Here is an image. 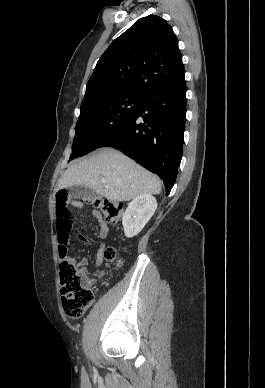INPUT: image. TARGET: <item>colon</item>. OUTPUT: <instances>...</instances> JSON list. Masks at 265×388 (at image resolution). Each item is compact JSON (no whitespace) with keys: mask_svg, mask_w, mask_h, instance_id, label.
I'll use <instances>...</instances> for the list:
<instances>
[{"mask_svg":"<svg viewBox=\"0 0 265 388\" xmlns=\"http://www.w3.org/2000/svg\"><path fill=\"white\" fill-rule=\"evenodd\" d=\"M90 202L102 212L105 221L111 224L117 223L124 212L121 203L105 198H96ZM56 227L62 308L68 317L77 319L91 305L94 294L87 272L69 259L68 244L73 224L70 219L69 196L63 190L56 194ZM104 257L108 262L121 264L112 247L104 251Z\"/></svg>","mask_w":265,"mask_h":388,"instance_id":"5ec220e1","label":"colon"}]
</instances>
